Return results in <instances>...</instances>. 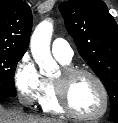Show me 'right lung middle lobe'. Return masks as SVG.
I'll use <instances>...</instances> for the list:
<instances>
[{
  "label": "right lung middle lobe",
  "mask_w": 118,
  "mask_h": 123,
  "mask_svg": "<svg viewBox=\"0 0 118 123\" xmlns=\"http://www.w3.org/2000/svg\"><path fill=\"white\" fill-rule=\"evenodd\" d=\"M21 54L0 51V94L15 97L17 92L14 83V74Z\"/></svg>",
  "instance_id": "obj_1"
}]
</instances>
